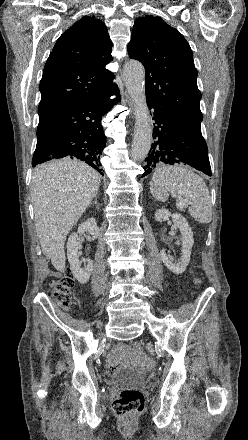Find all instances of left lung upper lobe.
I'll list each match as a JSON object with an SVG mask.
<instances>
[{
	"mask_svg": "<svg viewBox=\"0 0 248 440\" xmlns=\"http://www.w3.org/2000/svg\"><path fill=\"white\" fill-rule=\"evenodd\" d=\"M128 54L145 67L147 100L156 109L201 131L197 70L184 37L157 16L138 18Z\"/></svg>",
	"mask_w": 248,
	"mask_h": 440,
	"instance_id": "left-lung-upper-lobe-1",
	"label": "left lung upper lobe"
}]
</instances>
